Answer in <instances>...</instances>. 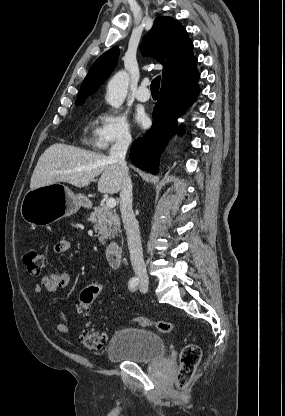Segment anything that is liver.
<instances>
[{
  "instance_id": "1",
  "label": "liver",
  "mask_w": 285,
  "mask_h": 416,
  "mask_svg": "<svg viewBox=\"0 0 285 416\" xmlns=\"http://www.w3.org/2000/svg\"><path fill=\"white\" fill-rule=\"evenodd\" d=\"M127 172L128 170H123L118 164H111L104 154L88 152L66 144H53L40 156L31 176L30 190L56 182L86 188L101 174L98 192L117 194L123 186Z\"/></svg>"
}]
</instances>
